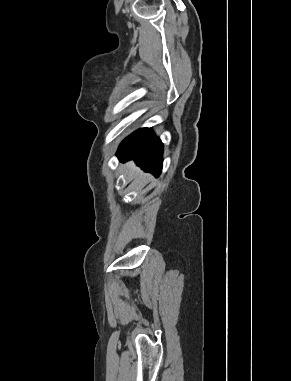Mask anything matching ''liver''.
I'll list each match as a JSON object with an SVG mask.
<instances>
[{
  "label": "liver",
  "mask_w": 291,
  "mask_h": 381,
  "mask_svg": "<svg viewBox=\"0 0 291 381\" xmlns=\"http://www.w3.org/2000/svg\"><path fill=\"white\" fill-rule=\"evenodd\" d=\"M133 166H134V165H133V162H129V163L127 164V168H128V169H132Z\"/></svg>",
  "instance_id": "1"
}]
</instances>
